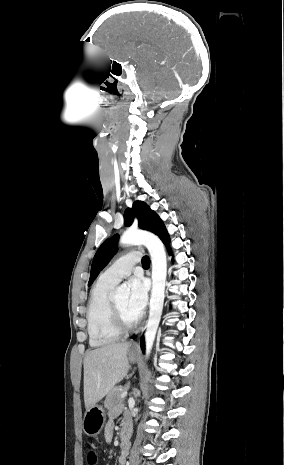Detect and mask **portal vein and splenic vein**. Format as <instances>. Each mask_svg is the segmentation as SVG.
<instances>
[{"instance_id": "obj_1", "label": "portal vein and splenic vein", "mask_w": 284, "mask_h": 465, "mask_svg": "<svg viewBox=\"0 0 284 465\" xmlns=\"http://www.w3.org/2000/svg\"><path fill=\"white\" fill-rule=\"evenodd\" d=\"M128 393L127 391H124V393H121L120 397L121 399H124V397H127Z\"/></svg>"}]
</instances>
